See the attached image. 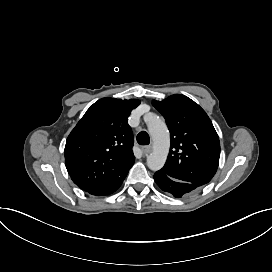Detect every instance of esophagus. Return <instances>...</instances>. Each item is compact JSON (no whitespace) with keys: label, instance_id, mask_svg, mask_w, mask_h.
<instances>
[{"label":"esophagus","instance_id":"1","mask_svg":"<svg viewBox=\"0 0 272 272\" xmlns=\"http://www.w3.org/2000/svg\"><path fill=\"white\" fill-rule=\"evenodd\" d=\"M151 151H152L151 146H143V147H142V152H143L144 154H149V153H151Z\"/></svg>","mask_w":272,"mask_h":272}]
</instances>
